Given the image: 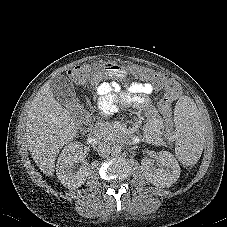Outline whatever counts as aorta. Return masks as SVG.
I'll return each mask as SVG.
<instances>
[{"mask_svg": "<svg viewBox=\"0 0 227 227\" xmlns=\"http://www.w3.org/2000/svg\"><path fill=\"white\" fill-rule=\"evenodd\" d=\"M122 151V147L118 144L112 146V153L117 155L120 154Z\"/></svg>", "mask_w": 227, "mask_h": 227, "instance_id": "762f6f07", "label": "aorta"}]
</instances>
